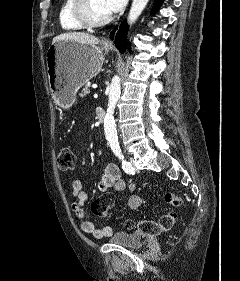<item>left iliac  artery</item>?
<instances>
[{
	"label": "left iliac artery",
	"instance_id": "left-iliac-artery-1",
	"mask_svg": "<svg viewBox=\"0 0 240 281\" xmlns=\"http://www.w3.org/2000/svg\"><path fill=\"white\" fill-rule=\"evenodd\" d=\"M111 149L113 150L114 154L119 158L120 161H122V169L127 173V174H135V169L131 165L130 162L126 161L124 159V156L122 154L121 148L117 143H111Z\"/></svg>",
	"mask_w": 240,
	"mask_h": 281
}]
</instances>
